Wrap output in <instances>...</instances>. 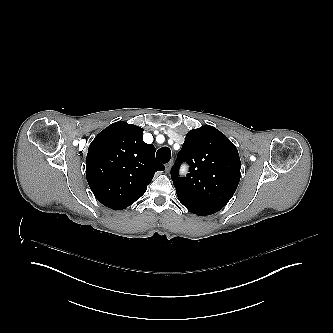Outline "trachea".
<instances>
[{
  "mask_svg": "<svg viewBox=\"0 0 333 333\" xmlns=\"http://www.w3.org/2000/svg\"><path fill=\"white\" fill-rule=\"evenodd\" d=\"M156 158L162 163H167L171 158V151L168 147L160 148L156 153Z\"/></svg>",
  "mask_w": 333,
  "mask_h": 333,
  "instance_id": "trachea-1",
  "label": "trachea"
}]
</instances>
